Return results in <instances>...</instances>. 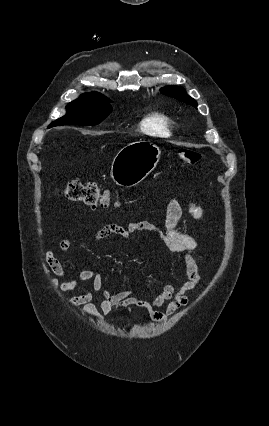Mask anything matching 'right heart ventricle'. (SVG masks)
Here are the masks:
<instances>
[{"mask_svg": "<svg viewBox=\"0 0 269 426\" xmlns=\"http://www.w3.org/2000/svg\"><path fill=\"white\" fill-rule=\"evenodd\" d=\"M141 127L149 135L166 137L170 134V119L165 115L154 113L142 121Z\"/></svg>", "mask_w": 269, "mask_h": 426, "instance_id": "1", "label": "right heart ventricle"}]
</instances>
